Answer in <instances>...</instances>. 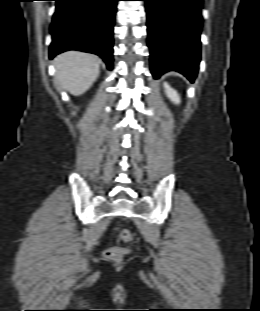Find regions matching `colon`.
I'll return each instance as SVG.
<instances>
[{
	"mask_svg": "<svg viewBox=\"0 0 260 311\" xmlns=\"http://www.w3.org/2000/svg\"><path fill=\"white\" fill-rule=\"evenodd\" d=\"M119 236L124 241H131L132 234L127 229H122ZM128 252L127 249L121 247H111L105 250V256L114 261H120L124 254Z\"/></svg>",
	"mask_w": 260,
	"mask_h": 311,
	"instance_id": "5ec220e1",
	"label": "colon"
}]
</instances>
